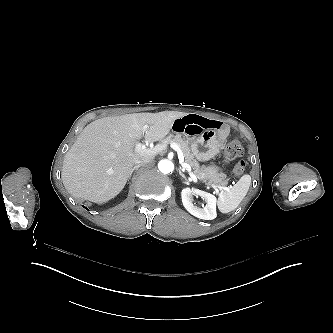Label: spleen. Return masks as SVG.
I'll return each instance as SVG.
<instances>
[{
    "mask_svg": "<svg viewBox=\"0 0 333 333\" xmlns=\"http://www.w3.org/2000/svg\"><path fill=\"white\" fill-rule=\"evenodd\" d=\"M251 185V176L243 175L239 181L227 190L219 194L217 207L221 213H229L235 210L247 195Z\"/></svg>",
    "mask_w": 333,
    "mask_h": 333,
    "instance_id": "spleen-1",
    "label": "spleen"
}]
</instances>
